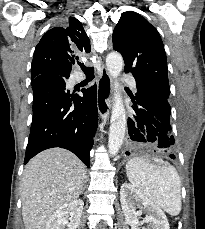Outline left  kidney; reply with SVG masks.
Returning a JSON list of instances; mask_svg holds the SVG:
<instances>
[{
    "mask_svg": "<svg viewBox=\"0 0 205 229\" xmlns=\"http://www.w3.org/2000/svg\"><path fill=\"white\" fill-rule=\"evenodd\" d=\"M120 202L125 220L131 229H170L167 217L161 208L131 184H122ZM142 211L147 213L142 222L149 224L148 228L142 227L139 221Z\"/></svg>",
    "mask_w": 205,
    "mask_h": 229,
    "instance_id": "left-kidney-1",
    "label": "left kidney"
}]
</instances>
